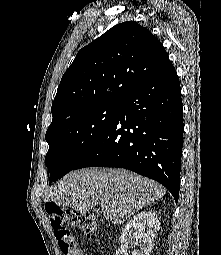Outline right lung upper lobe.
<instances>
[{
    "label": "right lung upper lobe",
    "mask_w": 221,
    "mask_h": 255,
    "mask_svg": "<svg viewBox=\"0 0 221 255\" xmlns=\"http://www.w3.org/2000/svg\"><path fill=\"white\" fill-rule=\"evenodd\" d=\"M168 61L161 42L147 28L135 21L112 27L82 48L64 73L48 129L79 110L120 103Z\"/></svg>",
    "instance_id": "obj_1"
}]
</instances>
